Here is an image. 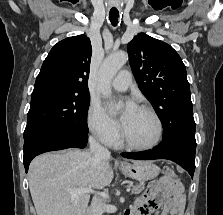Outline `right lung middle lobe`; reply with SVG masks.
<instances>
[{
  "instance_id": "right-lung-middle-lobe-1",
  "label": "right lung middle lobe",
  "mask_w": 223,
  "mask_h": 215,
  "mask_svg": "<svg viewBox=\"0 0 223 215\" xmlns=\"http://www.w3.org/2000/svg\"><path fill=\"white\" fill-rule=\"evenodd\" d=\"M89 104L90 96L57 92L32 94L24 138L55 131L88 134Z\"/></svg>"
}]
</instances>
